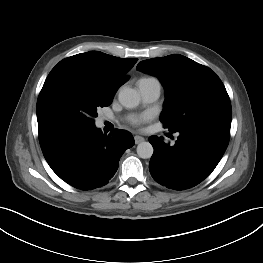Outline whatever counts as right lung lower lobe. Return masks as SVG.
Listing matches in <instances>:
<instances>
[{
	"instance_id": "98d812e1",
	"label": "right lung lower lobe",
	"mask_w": 263,
	"mask_h": 263,
	"mask_svg": "<svg viewBox=\"0 0 263 263\" xmlns=\"http://www.w3.org/2000/svg\"><path fill=\"white\" fill-rule=\"evenodd\" d=\"M39 141L52 170L81 190L106 185L116 173L122 154L134 145L128 131L115 129L107 136L95 127L47 132L39 135Z\"/></svg>"
}]
</instances>
